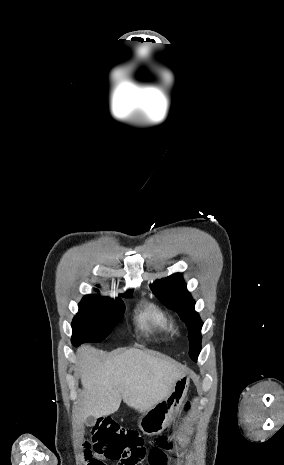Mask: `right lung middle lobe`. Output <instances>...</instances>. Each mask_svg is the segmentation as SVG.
Returning a JSON list of instances; mask_svg holds the SVG:
<instances>
[{
	"instance_id": "obj_1",
	"label": "right lung middle lobe",
	"mask_w": 284,
	"mask_h": 465,
	"mask_svg": "<svg viewBox=\"0 0 284 465\" xmlns=\"http://www.w3.org/2000/svg\"><path fill=\"white\" fill-rule=\"evenodd\" d=\"M122 297H131L122 296ZM120 298L116 301L108 297L86 295L79 304V312L72 321V343L79 346L85 342H101L119 321L124 311Z\"/></svg>"
}]
</instances>
